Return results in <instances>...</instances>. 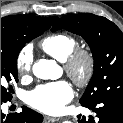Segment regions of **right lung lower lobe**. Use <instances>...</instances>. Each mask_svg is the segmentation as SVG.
I'll list each match as a JSON object with an SVG mask.
<instances>
[{
  "instance_id": "98d812e1",
  "label": "right lung lower lobe",
  "mask_w": 123,
  "mask_h": 123,
  "mask_svg": "<svg viewBox=\"0 0 123 123\" xmlns=\"http://www.w3.org/2000/svg\"><path fill=\"white\" fill-rule=\"evenodd\" d=\"M4 103L1 101V104ZM22 112L5 115L1 111V123H41L43 116L28 107L23 106Z\"/></svg>"
}]
</instances>
